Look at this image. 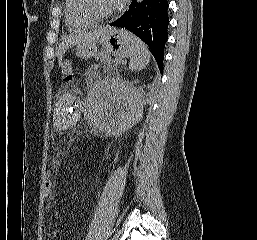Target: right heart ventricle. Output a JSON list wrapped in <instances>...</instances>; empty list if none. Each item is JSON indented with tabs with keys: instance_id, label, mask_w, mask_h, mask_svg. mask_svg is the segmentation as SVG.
Returning <instances> with one entry per match:
<instances>
[{
	"instance_id": "right-heart-ventricle-1",
	"label": "right heart ventricle",
	"mask_w": 257,
	"mask_h": 240,
	"mask_svg": "<svg viewBox=\"0 0 257 240\" xmlns=\"http://www.w3.org/2000/svg\"><path fill=\"white\" fill-rule=\"evenodd\" d=\"M64 16L70 31H81L94 27L96 23L86 18L79 9L78 0H65Z\"/></svg>"
}]
</instances>
